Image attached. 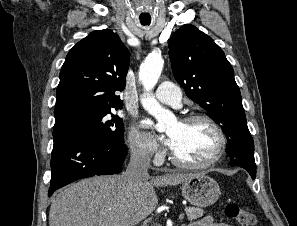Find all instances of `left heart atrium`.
<instances>
[{
    "instance_id": "1",
    "label": "left heart atrium",
    "mask_w": 297,
    "mask_h": 226,
    "mask_svg": "<svg viewBox=\"0 0 297 226\" xmlns=\"http://www.w3.org/2000/svg\"><path fill=\"white\" fill-rule=\"evenodd\" d=\"M144 125H145L146 127H149V126L151 125V122H150V121H146V122L144 123ZM162 139H163V141H164V143H165L166 145H168V146H170V147L173 146L174 140H173V137H172V136L167 135V136L163 137Z\"/></svg>"
}]
</instances>
